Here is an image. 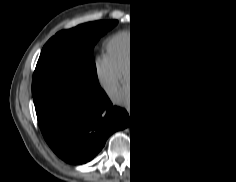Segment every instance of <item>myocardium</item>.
Wrapping results in <instances>:
<instances>
[{
  "instance_id": "obj_1",
  "label": "myocardium",
  "mask_w": 236,
  "mask_h": 182,
  "mask_svg": "<svg viewBox=\"0 0 236 182\" xmlns=\"http://www.w3.org/2000/svg\"><path fill=\"white\" fill-rule=\"evenodd\" d=\"M154 42H152L147 48L146 50H144L142 56L134 63V64H131L128 68H127V71H126V75L128 78H130V74H131V71H132V68L134 65H136L137 63H139V61H141V59L146 55V53H148L149 49L152 47ZM170 52H171V59H170V64H169V68L168 70L171 69V66H172V61H173V48H169Z\"/></svg>"
}]
</instances>
